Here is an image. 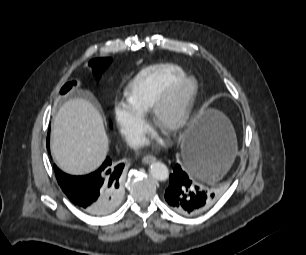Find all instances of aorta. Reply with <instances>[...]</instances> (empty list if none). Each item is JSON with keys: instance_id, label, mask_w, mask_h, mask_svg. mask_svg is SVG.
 I'll return each mask as SVG.
<instances>
[{"instance_id": "1", "label": "aorta", "mask_w": 306, "mask_h": 255, "mask_svg": "<svg viewBox=\"0 0 306 255\" xmlns=\"http://www.w3.org/2000/svg\"><path fill=\"white\" fill-rule=\"evenodd\" d=\"M149 173L157 181H165L169 177V169L162 162H154L150 165Z\"/></svg>"}]
</instances>
